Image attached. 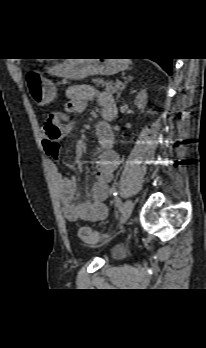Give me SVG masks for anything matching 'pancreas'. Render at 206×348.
I'll list each match as a JSON object with an SVG mask.
<instances>
[{
  "label": "pancreas",
  "mask_w": 206,
  "mask_h": 348,
  "mask_svg": "<svg viewBox=\"0 0 206 348\" xmlns=\"http://www.w3.org/2000/svg\"><path fill=\"white\" fill-rule=\"evenodd\" d=\"M93 82L97 86L105 87V90L112 94H115L118 92V87L114 86L112 82L104 81L103 79H100V78L93 79Z\"/></svg>",
  "instance_id": "pancreas-1"
}]
</instances>
